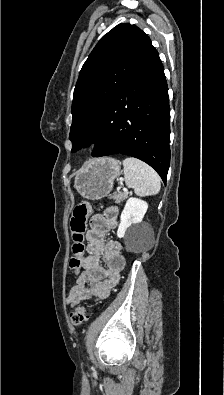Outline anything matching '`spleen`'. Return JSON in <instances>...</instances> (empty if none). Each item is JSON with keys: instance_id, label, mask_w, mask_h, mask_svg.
Instances as JSON below:
<instances>
[{"instance_id": "obj_1", "label": "spleen", "mask_w": 224, "mask_h": 395, "mask_svg": "<svg viewBox=\"0 0 224 395\" xmlns=\"http://www.w3.org/2000/svg\"><path fill=\"white\" fill-rule=\"evenodd\" d=\"M123 167L125 183L135 194L143 197L159 193L160 177L152 167L133 157L124 159Z\"/></svg>"}]
</instances>
